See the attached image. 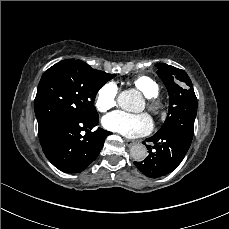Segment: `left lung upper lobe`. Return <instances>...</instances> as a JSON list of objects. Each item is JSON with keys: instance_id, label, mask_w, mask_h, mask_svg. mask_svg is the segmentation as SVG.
Returning <instances> with one entry per match:
<instances>
[{"instance_id": "obj_1", "label": "left lung upper lobe", "mask_w": 229, "mask_h": 229, "mask_svg": "<svg viewBox=\"0 0 229 229\" xmlns=\"http://www.w3.org/2000/svg\"><path fill=\"white\" fill-rule=\"evenodd\" d=\"M155 66L169 93L168 116L158 132L181 134L192 139L197 98L190 78L184 70L173 66L164 63Z\"/></svg>"}]
</instances>
